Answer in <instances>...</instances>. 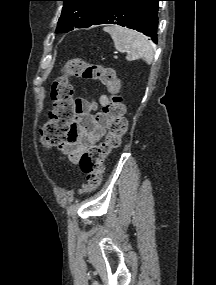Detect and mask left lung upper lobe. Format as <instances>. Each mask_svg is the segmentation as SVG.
Listing matches in <instances>:
<instances>
[{"label":"left lung upper lobe","mask_w":216,"mask_h":285,"mask_svg":"<svg viewBox=\"0 0 216 285\" xmlns=\"http://www.w3.org/2000/svg\"><path fill=\"white\" fill-rule=\"evenodd\" d=\"M64 1L56 33L74 28H87L112 0H60Z\"/></svg>","instance_id":"obj_1"}]
</instances>
